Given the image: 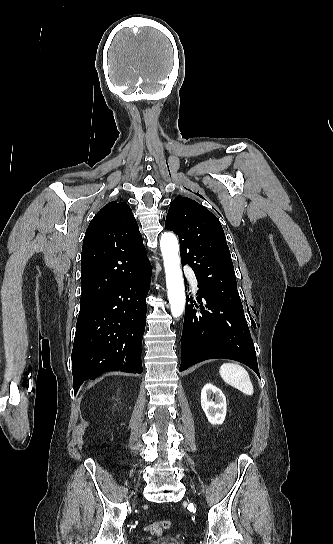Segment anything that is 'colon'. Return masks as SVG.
I'll return each instance as SVG.
<instances>
[{
	"instance_id": "5ec220e1",
	"label": "colon",
	"mask_w": 333,
	"mask_h": 544,
	"mask_svg": "<svg viewBox=\"0 0 333 544\" xmlns=\"http://www.w3.org/2000/svg\"><path fill=\"white\" fill-rule=\"evenodd\" d=\"M170 526L171 523L168 520L153 521L146 526V531L151 535H159L164 530L169 529Z\"/></svg>"
}]
</instances>
